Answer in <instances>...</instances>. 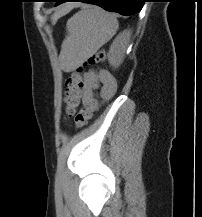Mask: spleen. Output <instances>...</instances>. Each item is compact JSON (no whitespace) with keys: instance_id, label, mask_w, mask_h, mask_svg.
<instances>
[{"instance_id":"1","label":"spleen","mask_w":202,"mask_h":217,"mask_svg":"<svg viewBox=\"0 0 202 217\" xmlns=\"http://www.w3.org/2000/svg\"><path fill=\"white\" fill-rule=\"evenodd\" d=\"M118 26L116 16L100 7L81 10L67 21L62 52L71 61L84 59L109 41Z\"/></svg>"}]
</instances>
